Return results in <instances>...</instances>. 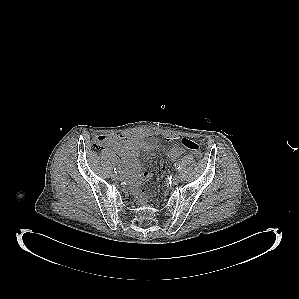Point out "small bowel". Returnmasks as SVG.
Segmentation results:
<instances>
[{
    "label": "small bowel",
    "mask_w": 299,
    "mask_h": 299,
    "mask_svg": "<svg viewBox=\"0 0 299 299\" xmlns=\"http://www.w3.org/2000/svg\"><path fill=\"white\" fill-rule=\"evenodd\" d=\"M103 136V135H101ZM171 140V139H169ZM105 146L112 147L118 159L124 166L125 177L135 186L140 185L151 177L149 171L141 169L138 155L140 150H150L157 146V142L152 139H143L137 136L116 135L109 136ZM184 153V148L175 145L167 152V158L175 161ZM165 171V165L162 164L160 173Z\"/></svg>",
    "instance_id": "1"
}]
</instances>
